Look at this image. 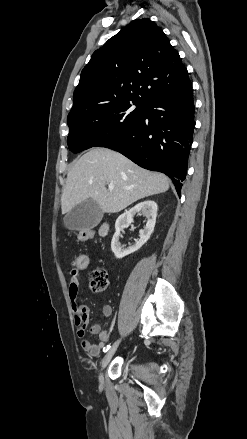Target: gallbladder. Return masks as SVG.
Returning a JSON list of instances; mask_svg holds the SVG:
<instances>
[{"label":"gallbladder","instance_id":"1","mask_svg":"<svg viewBox=\"0 0 247 439\" xmlns=\"http://www.w3.org/2000/svg\"><path fill=\"white\" fill-rule=\"evenodd\" d=\"M103 211L97 202L92 199L85 200L75 206L64 216V225L69 230L92 229L102 220Z\"/></svg>","mask_w":247,"mask_h":439}]
</instances>
